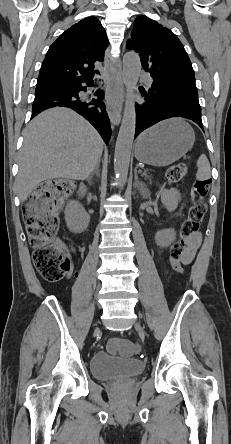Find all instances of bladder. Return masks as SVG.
I'll list each match as a JSON object with an SVG mask.
<instances>
[{
    "label": "bladder",
    "mask_w": 231,
    "mask_h": 444,
    "mask_svg": "<svg viewBox=\"0 0 231 444\" xmlns=\"http://www.w3.org/2000/svg\"><path fill=\"white\" fill-rule=\"evenodd\" d=\"M144 370L145 364L142 361L117 358L103 350L97 351L91 358V372L98 380L136 376Z\"/></svg>",
    "instance_id": "1"
}]
</instances>
